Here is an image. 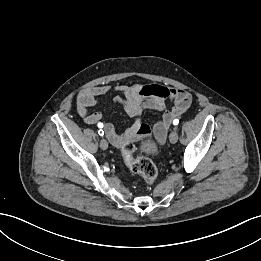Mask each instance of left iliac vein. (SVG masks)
Here are the masks:
<instances>
[{
	"label": "left iliac vein",
	"mask_w": 261,
	"mask_h": 261,
	"mask_svg": "<svg viewBox=\"0 0 261 261\" xmlns=\"http://www.w3.org/2000/svg\"><path fill=\"white\" fill-rule=\"evenodd\" d=\"M169 140L172 144H175L178 141V133L176 128L170 133Z\"/></svg>",
	"instance_id": "obj_1"
}]
</instances>
